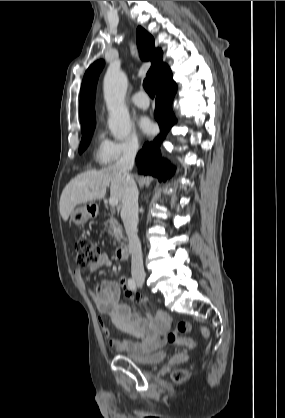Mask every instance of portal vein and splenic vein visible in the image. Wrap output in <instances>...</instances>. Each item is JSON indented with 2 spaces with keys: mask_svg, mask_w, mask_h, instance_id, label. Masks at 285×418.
I'll use <instances>...</instances> for the list:
<instances>
[{
  "mask_svg": "<svg viewBox=\"0 0 285 418\" xmlns=\"http://www.w3.org/2000/svg\"><path fill=\"white\" fill-rule=\"evenodd\" d=\"M109 204H110L111 207L117 206L118 205V199H116V198H110L109 199Z\"/></svg>",
  "mask_w": 285,
  "mask_h": 418,
  "instance_id": "18ae733b",
  "label": "portal vein and splenic vein"
}]
</instances>
